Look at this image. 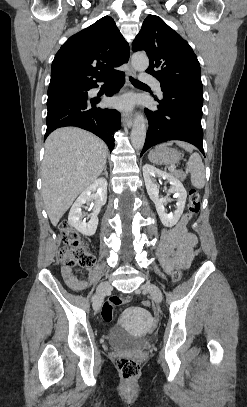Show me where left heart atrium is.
I'll return each instance as SVG.
<instances>
[{
    "mask_svg": "<svg viewBox=\"0 0 247 407\" xmlns=\"http://www.w3.org/2000/svg\"><path fill=\"white\" fill-rule=\"evenodd\" d=\"M113 105L119 109L128 110L133 106V99L130 97H122L115 99Z\"/></svg>",
    "mask_w": 247,
    "mask_h": 407,
    "instance_id": "obj_1",
    "label": "left heart atrium"
}]
</instances>
